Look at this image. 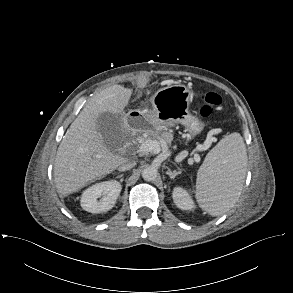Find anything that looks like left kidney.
Instances as JSON below:
<instances>
[{
    "instance_id": "left-kidney-1",
    "label": "left kidney",
    "mask_w": 293,
    "mask_h": 293,
    "mask_svg": "<svg viewBox=\"0 0 293 293\" xmlns=\"http://www.w3.org/2000/svg\"><path fill=\"white\" fill-rule=\"evenodd\" d=\"M173 200L176 206L182 210H193L195 208V204L191 196L182 187L174 188Z\"/></svg>"
}]
</instances>
